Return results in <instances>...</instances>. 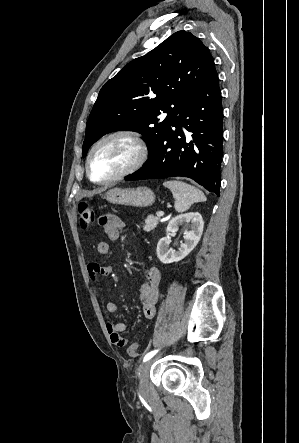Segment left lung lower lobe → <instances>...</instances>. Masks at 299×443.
Returning <instances> with one entry per match:
<instances>
[{"mask_svg": "<svg viewBox=\"0 0 299 443\" xmlns=\"http://www.w3.org/2000/svg\"><path fill=\"white\" fill-rule=\"evenodd\" d=\"M223 109L216 70L184 104L141 169L126 181L183 176L220 193ZM181 125L189 132L184 134Z\"/></svg>", "mask_w": 299, "mask_h": 443, "instance_id": "left-lung-lower-lobe-1", "label": "left lung lower lobe"}]
</instances>
